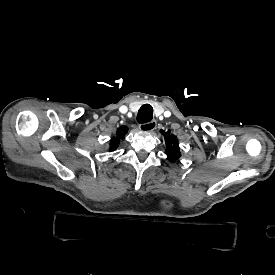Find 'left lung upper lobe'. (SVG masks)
I'll use <instances>...</instances> for the list:
<instances>
[{
	"label": "left lung upper lobe",
	"instance_id": "1",
	"mask_svg": "<svg viewBox=\"0 0 275 275\" xmlns=\"http://www.w3.org/2000/svg\"><path fill=\"white\" fill-rule=\"evenodd\" d=\"M164 134L165 143H166V155L167 159L170 162H175L181 156L179 150V143L177 141V137L170 134V130L167 132L161 131Z\"/></svg>",
	"mask_w": 275,
	"mask_h": 275
}]
</instances>
